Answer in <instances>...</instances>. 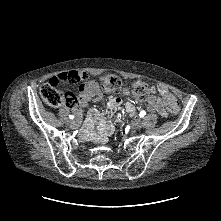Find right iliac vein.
Here are the masks:
<instances>
[{
	"label": "right iliac vein",
	"mask_w": 221,
	"mask_h": 221,
	"mask_svg": "<svg viewBox=\"0 0 221 221\" xmlns=\"http://www.w3.org/2000/svg\"><path fill=\"white\" fill-rule=\"evenodd\" d=\"M79 122H80L79 119L76 118L75 120H71V121L69 122V126H70L71 128H75V127L78 125Z\"/></svg>",
	"instance_id": "63e3f726"
}]
</instances>
